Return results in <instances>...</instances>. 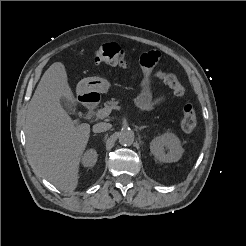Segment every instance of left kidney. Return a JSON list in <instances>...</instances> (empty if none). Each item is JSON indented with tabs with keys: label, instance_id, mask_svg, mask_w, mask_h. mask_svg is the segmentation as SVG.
<instances>
[{
	"label": "left kidney",
	"instance_id": "obj_1",
	"mask_svg": "<svg viewBox=\"0 0 246 246\" xmlns=\"http://www.w3.org/2000/svg\"><path fill=\"white\" fill-rule=\"evenodd\" d=\"M150 151L159 161L172 163L181 158L184 150L175 134L164 133L150 142Z\"/></svg>",
	"mask_w": 246,
	"mask_h": 246
}]
</instances>
